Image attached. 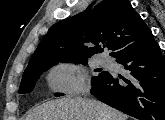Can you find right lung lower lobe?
Masks as SVG:
<instances>
[{"label": "right lung lower lobe", "instance_id": "98d812e1", "mask_svg": "<svg viewBox=\"0 0 165 120\" xmlns=\"http://www.w3.org/2000/svg\"><path fill=\"white\" fill-rule=\"evenodd\" d=\"M114 57L129 78L108 73L92 86L91 94L139 120H165V58L152 33Z\"/></svg>", "mask_w": 165, "mask_h": 120}]
</instances>
